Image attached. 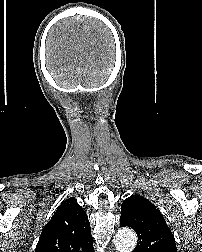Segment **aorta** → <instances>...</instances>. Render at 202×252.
<instances>
[{"instance_id":"aorta-1","label":"aorta","mask_w":202,"mask_h":252,"mask_svg":"<svg viewBox=\"0 0 202 252\" xmlns=\"http://www.w3.org/2000/svg\"><path fill=\"white\" fill-rule=\"evenodd\" d=\"M137 244L136 233L128 228H122L114 236V245L119 252H132Z\"/></svg>"}]
</instances>
